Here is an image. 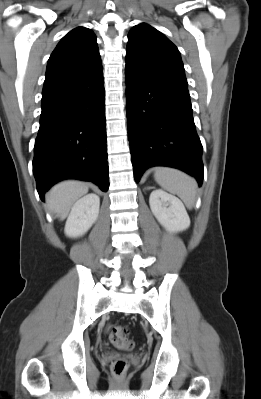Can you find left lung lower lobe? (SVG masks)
I'll use <instances>...</instances> for the list:
<instances>
[{"label": "left lung lower lobe", "instance_id": "obj_1", "mask_svg": "<svg viewBox=\"0 0 261 399\" xmlns=\"http://www.w3.org/2000/svg\"><path fill=\"white\" fill-rule=\"evenodd\" d=\"M128 138L139 182L153 166H170L203 181L202 145L186 86L154 81L125 69Z\"/></svg>", "mask_w": 261, "mask_h": 399}]
</instances>
